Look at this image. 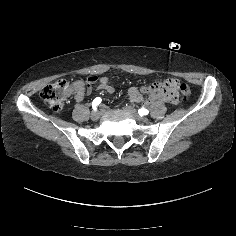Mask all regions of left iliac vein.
<instances>
[{
    "mask_svg": "<svg viewBox=\"0 0 236 236\" xmlns=\"http://www.w3.org/2000/svg\"><path fill=\"white\" fill-rule=\"evenodd\" d=\"M124 110H125L128 114H130L136 121H143V122L146 121L145 118H143V117H141V116L138 115L137 111H136L133 107L127 106V107L124 108Z\"/></svg>",
    "mask_w": 236,
    "mask_h": 236,
    "instance_id": "1",
    "label": "left iliac vein"
}]
</instances>
